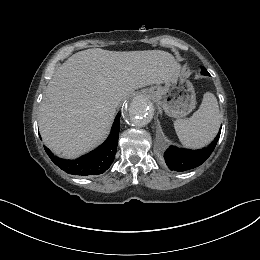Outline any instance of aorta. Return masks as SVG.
Here are the masks:
<instances>
[{
    "label": "aorta",
    "instance_id": "obj_1",
    "mask_svg": "<svg viewBox=\"0 0 260 260\" xmlns=\"http://www.w3.org/2000/svg\"><path fill=\"white\" fill-rule=\"evenodd\" d=\"M127 120L134 127L146 126L152 118V107L144 96H136L127 109Z\"/></svg>",
    "mask_w": 260,
    "mask_h": 260
}]
</instances>
